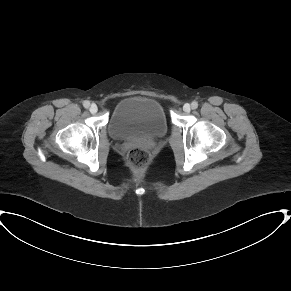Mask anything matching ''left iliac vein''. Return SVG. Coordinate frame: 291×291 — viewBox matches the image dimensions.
<instances>
[{
  "label": "left iliac vein",
  "mask_w": 291,
  "mask_h": 291,
  "mask_svg": "<svg viewBox=\"0 0 291 291\" xmlns=\"http://www.w3.org/2000/svg\"><path fill=\"white\" fill-rule=\"evenodd\" d=\"M190 110H191L190 104H188V103L184 104L183 111L188 113V112H190Z\"/></svg>",
  "instance_id": "left-iliac-vein-1"
}]
</instances>
